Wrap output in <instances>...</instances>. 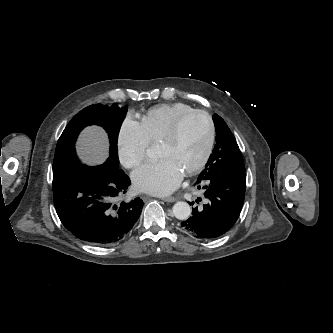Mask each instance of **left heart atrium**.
<instances>
[{"mask_svg":"<svg viewBox=\"0 0 333 333\" xmlns=\"http://www.w3.org/2000/svg\"><path fill=\"white\" fill-rule=\"evenodd\" d=\"M183 178V171L169 158L143 164L132 174L134 186L154 195L164 196L173 192Z\"/></svg>","mask_w":333,"mask_h":333,"instance_id":"39dd6f15","label":"left heart atrium"}]
</instances>
